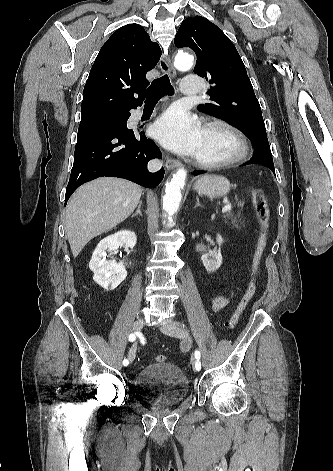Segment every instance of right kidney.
Returning a JSON list of instances; mask_svg holds the SVG:
<instances>
[{
	"mask_svg": "<svg viewBox=\"0 0 333 471\" xmlns=\"http://www.w3.org/2000/svg\"><path fill=\"white\" fill-rule=\"evenodd\" d=\"M137 237L131 231H119L107 236L99 242L95 248L89 267L94 272L93 279L105 290H114L127 276V271L122 262L106 260L107 252L116 251L120 246L134 248Z\"/></svg>",
	"mask_w": 333,
	"mask_h": 471,
	"instance_id": "ca27d5eb",
	"label": "right kidney"
}]
</instances>
